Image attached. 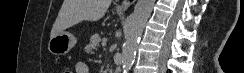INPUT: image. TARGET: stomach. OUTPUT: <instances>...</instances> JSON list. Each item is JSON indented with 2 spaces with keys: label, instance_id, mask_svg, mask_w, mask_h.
Wrapping results in <instances>:
<instances>
[{
  "label": "stomach",
  "instance_id": "0dacf381",
  "mask_svg": "<svg viewBox=\"0 0 244 73\" xmlns=\"http://www.w3.org/2000/svg\"><path fill=\"white\" fill-rule=\"evenodd\" d=\"M77 39L69 32H61L50 38L48 50L53 55H66L75 45Z\"/></svg>",
  "mask_w": 244,
  "mask_h": 73
}]
</instances>
